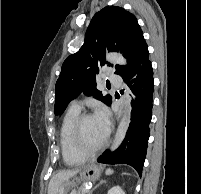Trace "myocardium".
Returning <instances> with one entry per match:
<instances>
[{
  "mask_svg": "<svg viewBox=\"0 0 201 194\" xmlns=\"http://www.w3.org/2000/svg\"><path fill=\"white\" fill-rule=\"evenodd\" d=\"M92 117L89 113H83L78 116L73 126V144L75 149L85 157H91L100 152L107 143V138H105L97 147L87 148L83 142L82 136V126L86 119Z\"/></svg>",
  "mask_w": 201,
  "mask_h": 194,
  "instance_id": "obj_1",
  "label": "myocardium"
}]
</instances>
